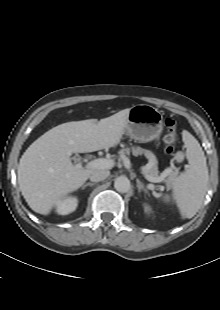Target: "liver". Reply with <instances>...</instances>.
Segmentation results:
<instances>
[{
  "label": "liver",
  "instance_id": "6515ba94",
  "mask_svg": "<svg viewBox=\"0 0 220 310\" xmlns=\"http://www.w3.org/2000/svg\"><path fill=\"white\" fill-rule=\"evenodd\" d=\"M129 111L121 110L100 121L63 123L35 140L20 158L17 171L19 188L29 207L48 215L60 200L80 188L95 170L73 165L70 156L116 146Z\"/></svg>",
  "mask_w": 220,
  "mask_h": 310
}]
</instances>
